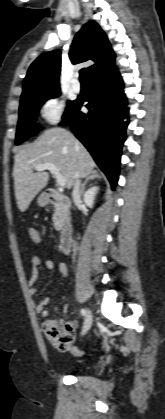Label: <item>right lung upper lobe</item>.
Masks as SVG:
<instances>
[{
	"label": "right lung upper lobe",
	"instance_id": "obj_1",
	"mask_svg": "<svg viewBox=\"0 0 165 419\" xmlns=\"http://www.w3.org/2000/svg\"><path fill=\"white\" fill-rule=\"evenodd\" d=\"M69 58L73 64L87 60L95 62L88 68L89 80L115 67V55L107 36L93 20L87 22L75 35ZM60 68L59 50L40 55L28 69L23 82L21 101L37 94L59 89Z\"/></svg>",
	"mask_w": 165,
	"mask_h": 419
}]
</instances>
